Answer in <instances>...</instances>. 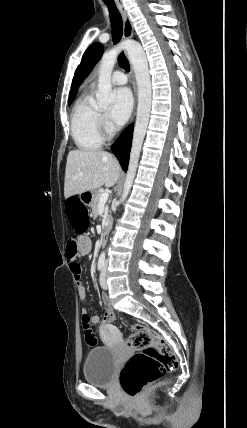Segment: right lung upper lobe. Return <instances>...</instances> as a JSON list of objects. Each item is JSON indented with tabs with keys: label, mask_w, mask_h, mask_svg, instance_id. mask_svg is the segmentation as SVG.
Here are the masks:
<instances>
[{
	"label": "right lung upper lobe",
	"mask_w": 247,
	"mask_h": 428,
	"mask_svg": "<svg viewBox=\"0 0 247 428\" xmlns=\"http://www.w3.org/2000/svg\"><path fill=\"white\" fill-rule=\"evenodd\" d=\"M76 92H77V89H75L73 91L72 95L69 96V101H73L74 100Z\"/></svg>",
	"instance_id": "cb5924a9"
}]
</instances>
